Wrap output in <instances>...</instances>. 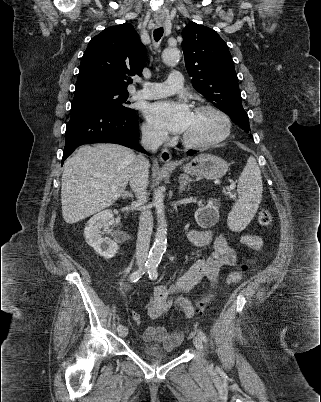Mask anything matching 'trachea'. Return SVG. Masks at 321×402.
<instances>
[{
	"label": "trachea",
	"mask_w": 321,
	"mask_h": 402,
	"mask_svg": "<svg viewBox=\"0 0 321 402\" xmlns=\"http://www.w3.org/2000/svg\"><path fill=\"white\" fill-rule=\"evenodd\" d=\"M163 35V27H159L154 30V40L158 42Z\"/></svg>",
	"instance_id": "3493384b"
}]
</instances>
